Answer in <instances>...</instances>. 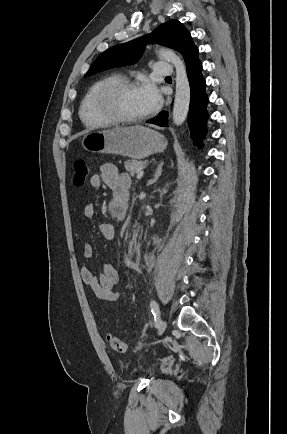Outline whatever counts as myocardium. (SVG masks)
<instances>
[{
	"instance_id": "myocardium-1",
	"label": "myocardium",
	"mask_w": 287,
	"mask_h": 434,
	"mask_svg": "<svg viewBox=\"0 0 287 434\" xmlns=\"http://www.w3.org/2000/svg\"><path fill=\"white\" fill-rule=\"evenodd\" d=\"M137 87L138 82L127 79L107 83L97 93L95 99L97 111L112 123L133 124L145 120L149 116L148 113L137 117H126L121 115L116 107V99L121 92Z\"/></svg>"
}]
</instances>
